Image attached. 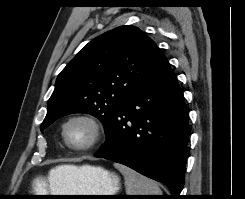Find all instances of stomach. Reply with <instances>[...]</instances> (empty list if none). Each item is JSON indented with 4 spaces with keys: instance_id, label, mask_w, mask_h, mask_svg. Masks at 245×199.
<instances>
[{
    "instance_id": "0dacf381",
    "label": "stomach",
    "mask_w": 245,
    "mask_h": 199,
    "mask_svg": "<svg viewBox=\"0 0 245 199\" xmlns=\"http://www.w3.org/2000/svg\"><path fill=\"white\" fill-rule=\"evenodd\" d=\"M58 189L51 195H114L120 189V177L101 167H77L68 179H54ZM99 196H78L75 199H99ZM69 199V198H61Z\"/></svg>"
}]
</instances>
